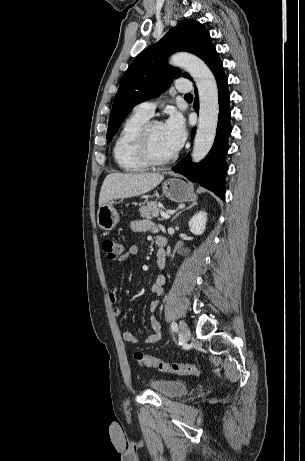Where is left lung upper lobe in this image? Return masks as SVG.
Returning <instances> with one entry per match:
<instances>
[{
	"mask_svg": "<svg viewBox=\"0 0 305 461\" xmlns=\"http://www.w3.org/2000/svg\"><path fill=\"white\" fill-rule=\"evenodd\" d=\"M178 51L193 53L208 66L218 55L206 28L192 19L181 21L159 42L141 52L122 77L114 98L107 131L108 142L134 106L157 97L173 79L180 76L181 71L167 62L168 56ZM183 76L192 80L187 73Z\"/></svg>",
	"mask_w": 305,
	"mask_h": 461,
	"instance_id": "left-lung-upper-lobe-1",
	"label": "left lung upper lobe"
}]
</instances>
